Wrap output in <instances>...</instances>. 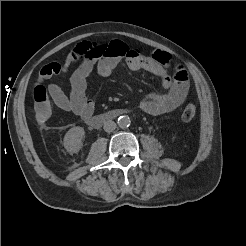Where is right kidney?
I'll return each instance as SVG.
<instances>
[{
	"label": "right kidney",
	"mask_w": 246,
	"mask_h": 246,
	"mask_svg": "<svg viewBox=\"0 0 246 246\" xmlns=\"http://www.w3.org/2000/svg\"><path fill=\"white\" fill-rule=\"evenodd\" d=\"M85 135L84 128L76 126L71 128L64 136L63 146L70 154L77 153L82 148V139Z\"/></svg>",
	"instance_id": "obj_1"
}]
</instances>
